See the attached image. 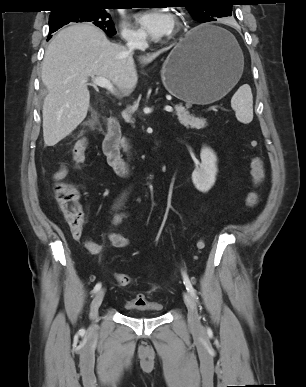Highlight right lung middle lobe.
Listing matches in <instances>:
<instances>
[{"label":"right lung middle lobe","mask_w":306,"mask_h":387,"mask_svg":"<svg viewBox=\"0 0 306 387\" xmlns=\"http://www.w3.org/2000/svg\"><path fill=\"white\" fill-rule=\"evenodd\" d=\"M88 21L100 27L107 35H114L116 30L110 15L101 6H71L52 12L49 16L50 33L55 32L70 22Z\"/></svg>","instance_id":"1"}]
</instances>
